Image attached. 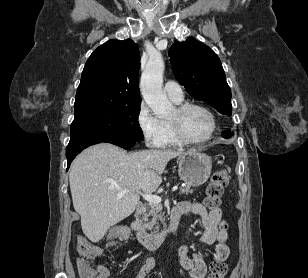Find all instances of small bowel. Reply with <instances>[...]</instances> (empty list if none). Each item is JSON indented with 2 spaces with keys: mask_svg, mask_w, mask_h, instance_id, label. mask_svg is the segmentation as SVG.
Masks as SVG:
<instances>
[{
  "mask_svg": "<svg viewBox=\"0 0 308 278\" xmlns=\"http://www.w3.org/2000/svg\"><path fill=\"white\" fill-rule=\"evenodd\" d=\"M174 212L180 217L198 215L201 218L203 232L199 237V242L203 246L215 244V253L213 261H225L229 255L227 246V222L222 218L220 208L207 210L206 207L198 202H181L174 209ZM180 265L190 273L191 278H204L207 273V263L203 251H197L188 254L187 245L183 244L178 249ZM155 262L148 258L139 269L135 278H145L153 269ZM97 278H108L109 270L104 266L97 269ZM122 278V277H120Z\"/></svg>",
  "mask_w": 308,
  "mask_h": 278,
  "instance_id": "1",
  "label": "small bowel"
}]
</instances>
